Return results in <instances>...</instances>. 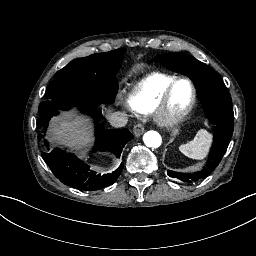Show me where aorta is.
I'll return each instance as SVG.
<instances>
[{
  "instance_id": "aorta-1",
  "label": "aorta",
  "mask_w": 256,
  "mask_h": 256,
  "mask_svg": "<svg viewBox=\"0 0 256 256\" xmlns=\"http://www.w3.org/2000/svg\"><path fill=\"white\" fill-rule=\"evenodd\" d=\"M144 144L151 149H157L162 145V137L156 131H148L143 137Z\"/></svg>"
}]
</instances>
